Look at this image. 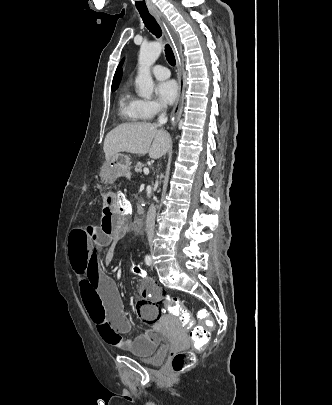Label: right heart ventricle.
Returning a JSON list of instances; mask_svg holds the SVG:
<instances>
[{"mask_svg": "<svg viewBox=\"0 0 332 405\" xmlns=\"http://www.w3.org/2000/svg\"><path fill=\"white\" fill-rule=\"evenodd\" d=\"M118 110L126 122L138 123L146 118L142 111V100L132 93L129 85H126L119 95Z\"/></svg>", "mask_w": 332, "mask_h": 405, "instance_id": "obj_1", "label": "right heart ventricle"}]
</instances>
